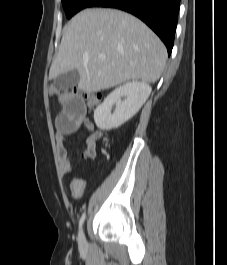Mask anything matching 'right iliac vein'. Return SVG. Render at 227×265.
Returning a JSON list of instances; mask_svg holds the SVG:
<instances>
[{
    "mask_svg": "<svg viewBox=\"0 0 227 265\" xmlns=\"http://www.w3.org/2000/svg\"><path fill=\"white\" fill-rule=\"evenodd\" d=\"M78 243H79V246H80L81 248H84L85 245H86V240H85V236H84V232H83V230H81V231L79 232Z\"/></svg>",
    "mask_w": 227,
    "mask_h": 265,
    "instance_id": "63e3f726",
    "label": "right iliac vein"
}]
</instances>
